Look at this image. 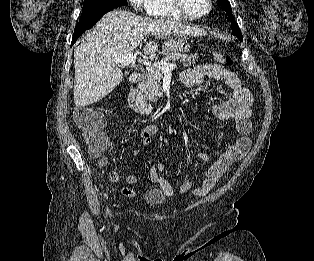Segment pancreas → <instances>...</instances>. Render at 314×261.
<instances>
[{
    "instance_id": "obj_1",
    "label": "pancreas",
    "mask_w": 314,
    "mask_h": 261,
    "mask_svg": "<svg viewBox=\"0 0 314 261\" xmlns=\"http://www.w3.org/2000/svg\"><path fill=\"white\" fill-rule=\"evenodd\" d=\"M163 50L165 56L162 61L166 63H169L170 61L172 62L180 61L181 63H183L185 67H189L192 64H195V61L198 58L196 54L188 55L168 50L166 43L163 47ZM162 77H163L162 70L154 67H149L147 69V73L145 74V82L143 84L144 98L146 100L151 102H157L158 98L163 97V92L161 91L160 88V81Z\"/></svg>"
}]
</instances>
